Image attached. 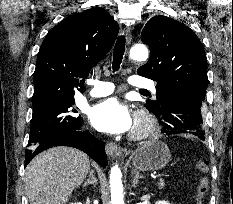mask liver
<instances>
[{"mask_svg":"<svg viewBox=\"0 0 233 204\" xmlns=\"http://www.w3.org/2000/svg\"><path fill=\"white\" fill-rule=\"evenodd\" d=\"M90 170L89 158L71 147H53L26 167V195L30 204H65Z\"/></svg>","mask_w":233,"mask_h":204,"instance_id":"liver-1","label":"liver"}]
</instances>
